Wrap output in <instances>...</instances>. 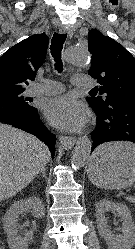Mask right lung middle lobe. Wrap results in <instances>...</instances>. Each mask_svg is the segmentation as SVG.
Wrapping results in <instances>:
<instances>
[{
    "label": "right lung middle lobe",
    "mask_w": 135,
    "mask_h": 249,
    "mask_svg": "<svg viewBox=\"0 0 135 249\" xmlns=\"http://www.w3.org/2000/svg\"><path fill=\"white\" fill-rule=\"evenodd\" d=\"M23 91H2L0 92V99L10 100L17 102L23 106H30L27 102L28 99L24 98L21 94Z\"/></svg>",
    "instance_id": "1"
}]
</instances>
